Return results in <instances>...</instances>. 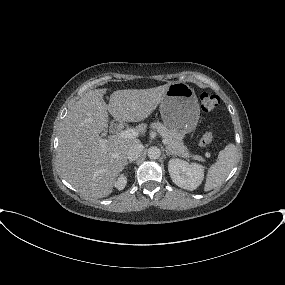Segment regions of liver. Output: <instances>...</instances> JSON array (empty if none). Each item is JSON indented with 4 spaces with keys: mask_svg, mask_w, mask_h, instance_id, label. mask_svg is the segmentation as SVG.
<instances>
[{
    "mask_svg": "<svg viewBox=\"0 0 285 285\" xmlns=\"http://www.w3.org/2000/svg\"><path fill=\"white\" fill-rule=\"evenodd\" d=\"M171 83L149 89L114 91L106 104L107 89H94L82 96L63 120L59 136L58 163L63 178L82 195L103 198L112 193L117 176L127 162L129 148L138 139L99 134L108 123V113L118 121L139 122L156 109ZM146 125L138 128L144 133Z\"/></svg>",
    "mask_w": 285,
    "mask_h": 285,
    "instance_id": "6515ba94",
    "label": "liver"
}]
</instances>
